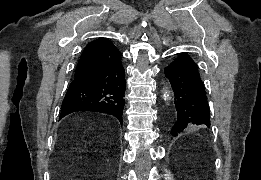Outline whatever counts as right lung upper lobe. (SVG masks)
Wrapping results in <instances>:
<instances>
[{
	"label": "right lung upper lobe",
	"mask_w": 261,
	"mask_h": 180,
	"mask_svg": "<svg viewBox=\"0 0 261 180\" xmlns=\"http://www.w3.org/2000/svg\"><path fill=\"white\" fill-rule=\"evenodd\" d=\"M121 56V52L109 39H96L84 48L74 73V79L92 68L119 63Z\"/></svg>",
	"instance_id": "obj_1"
}]
</instances>
